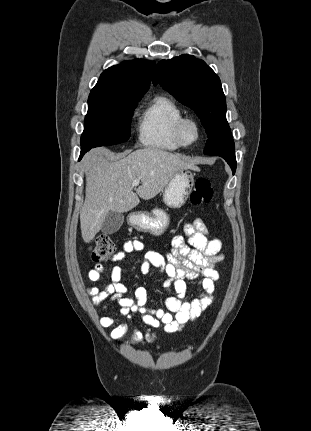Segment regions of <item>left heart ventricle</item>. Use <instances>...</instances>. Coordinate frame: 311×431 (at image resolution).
I'll return each instance as SVG.
<instances>
[{
  "label": "left heart ventricle",
  "instance_id": "1",
  "mask_svg": "<svg viewBox=\"0 0 311 431\" xmlns=\"http://www.w3.org/2000/svg\"><path fill=\"white\" fill-rule=\"evenodd\" d=\"M198 127L192 120L188 121L184 126V134L188 141H194L198 136Z\"/></svg>",
  "mask_w": 311,
  "mask_h": 431
}]
</instances>
